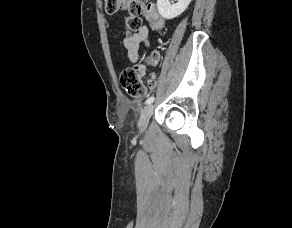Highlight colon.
<instances>
[{
  "instance_id": "obj_1",
  "label": "colon",
  "mask_w": 292,
  "mask_h": 228,
  "mask_svg": "<svg viewBox=\"0 0 292 228\" xmlns=\"http://www.w3.org/2000/svg\"><path fill=\"white\" fill-rule=\"evenodd\" d=\"M105 9L109 14L118 12L127 14L125 29L128 33L136 32L142 27V15L149 16L151 26L155 29L161 28L164 23L160 15L153 12L151 3L146 0H105ZM155 58V55L149 56L148 63L153 64ZM120 83L134 98H143L146 95L147 89L142 75L135 67L126 68L121 72Z\"/></svg>"
}]
</instances>
